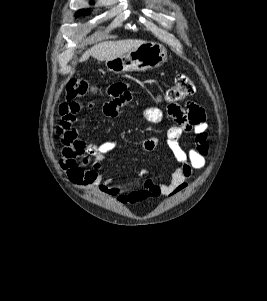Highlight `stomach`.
<instances>
[{"label": "stomach", "mask_w": 267, "mask_h": 301, "mask_svg": "<svg viewBox=\"0 0 267 301\" xmlns=\"http://www.w3.org/2000/svg\"><path fill=\"white\" fill-rule=\"evenodd\" d=\"M167 51L161 44L145 42L123 56L106 61L107 69L115 74L132 71H147L163 65Z\"/></svg>", "instance_id": "obj_1"}]
</instances>
